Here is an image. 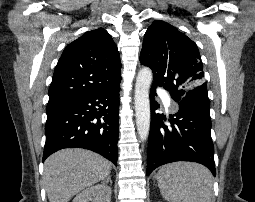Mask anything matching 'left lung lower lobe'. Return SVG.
<instances>
[{"instance_id":"left-lung-lower-lobe-1","label":"left lung lower lobe","mask_w":255,"mask_h":202,"mask_svg":"<svg viewBox=\"0 0 255 202\" xmlns=\"http://www.w3.org/2000/svg\"><path fill=\"white\" fill-rule=\"evenodd\" d=\"M155 96L156 91L151 88L147 175L166 163L192 161L205 165L215 176L210 110L177 102L179 110L169 116L171 127H167L163 123L166 117L154 112L159 107Z\"/></svg>"}]
</instances>
